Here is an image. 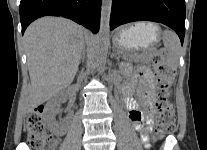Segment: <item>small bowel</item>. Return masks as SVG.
Returning a JSON list of instances; mask_svg holds the SVG:
<instances>
[{
  "instance_id": "small-bowel-1",
  "label": "small bowel",
  "mask_w": 207,
  "mask_h": 150,
  "mask_svg": "<svg viewBox=\"0 0 207 150\" xmlns=\"http://www.w3.org/2000/svg\"><path fill=\"white\" fill-rule=\"evenodd\" d=\"M140 84L136 87V77L131 76L130 82L122 88L121 92L125 96V101L129 108V119L133 123L135 129L140 133L142 142L147 143L150 137V132L153 124V75L151 71L142 66L138 71ZM146 107L147 111H141L136 102L130 98L134 91Z\"/></svg>"
}]
</instances>
